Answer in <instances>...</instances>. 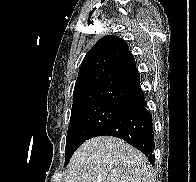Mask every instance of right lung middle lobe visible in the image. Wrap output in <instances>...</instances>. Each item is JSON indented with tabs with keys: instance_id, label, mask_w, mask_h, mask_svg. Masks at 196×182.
I'll use <instances>...</instances> for the list:
<instances>
[{
	"instance_id": "right-lung-middle-lobe-1",
	"label": "right lung middle lobe",
	"mask_w": 196,
	"mask_h": 182,
	"mask_svg": "<svg viewBox=\"0 0 196 182\" xmlns=\"http://www.w3.org/2000/svg\"><path fill=\"white\" fill-rule=\"evenodd\" d=\"M133 106L112 101L93 102L72 109L67 132L65 166L75 150L105 125L128 112Z\"/></svg>"
}]
</instances>
